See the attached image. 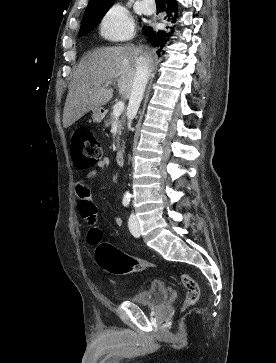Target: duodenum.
Segmentation results:
<instances>
[{"label":"duodenum","instance_id":"duodenum-1","mask_svg":"<svg viewBox=\"0 0 276 363\" xmlns=\"http://www.w3.org/2000/svg\"><path fill=\"white\" fill-rule=\"evenodd\" d=\"M115 159L118 165H122L124 163V152L121 150L117 151Z\"/></svg>","mask_w":276,"mask_h":363}]
</instances>
